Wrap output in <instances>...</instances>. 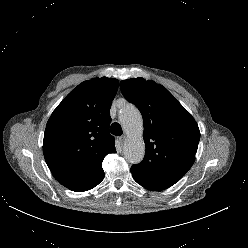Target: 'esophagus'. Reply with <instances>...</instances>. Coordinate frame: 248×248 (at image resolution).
I'll return each mask as SVG.
<instances>
[{
	"label": "esophagus",
	"mask_w": 248,
	"mask_h": 248,
	"mask_svg": "<svg viewBox=\"0 0 248 248\" xmlns=\"http://www.w3.org/2000/svg\"><path fill=\"white\" fill-rule=\"evenodd\" d=\"M118 141H119V143H120L121 145H123V144L125 143V141H126V136H120V137L118 138Z\"/></svg>",
	"instance_id": "1"
}]
</instances>
